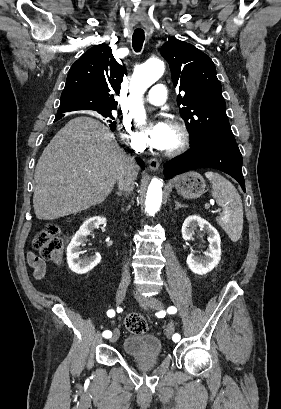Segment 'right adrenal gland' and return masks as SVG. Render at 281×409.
I'll return each instance as SVG.
<instances>
[{"label":"right adrenal gland","mask_w":281,"mask_h":409,"mask_svg":"<svg viewBox=\"0 0 281 409\" xmlns=\"http://www.w3.org/2000/svg\"><path fill=\"white\" fill-rule=\"evenodd\" d=\"M117 194H119V196H121V192H117Z\"/></svg>","instance_id":"right-adrenal-gland-1"}]
</instances>
